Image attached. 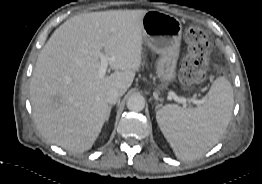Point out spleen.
<instances>
[{
    "mask_svg": "<svg viewBox=\"0 0 262 184\" xmlns=\"http://www.w3.org/2000/svg\"><path fill=\"white\" fill-rule=\"evenodd\" d=\"M233 105L230 82L225 77H218L201 107L185 109L168 104L157 111L156 118L176 157L192 160L218 143L229 124Z\"/></svg>",
    "mask_w": 262,
    "mask_h": 184,
    "instance_id": "1",
    "label": "spleen"
}]
</instances>
